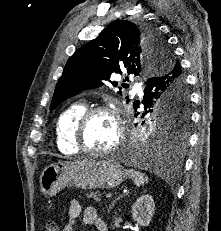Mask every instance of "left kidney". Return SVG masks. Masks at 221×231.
I'll list each match as a JSON object with an SVG mask.
<instances>
[{
    "label": "left kidney",
    "instance_id": "1",
    "mask_svg": "<svg viewBox=\"0 0 221 231\" xmlns=\"http://www.w3.org/2000/svg\"><path fill=\"white\" fill-rule=\"evenodd\" d=\"M155 203L149 194L142 195L132 206V217L142 227H147L154 215Z\"/></svg>",
    "mask_w": 221,
    "mask_h": 231
}]
</instances>
